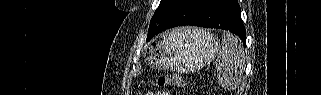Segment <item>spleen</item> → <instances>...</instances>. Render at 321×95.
<instances>
[{"label":"spleen","mask_w":321,"mask_h":95,"mask_svg":"<svg viewBox=\"0 0 321 95\" xmlns=\"http://www.w3.org/2000/svg\"><path fill=\"white\" fill-rule=\"evenodd\" d=\"M245 66V54L239 40L223 32L222 45L215 61L219 85L226 90L236 89Z\"/></svg>","instance_id":"obj_1"}]
</instances>
